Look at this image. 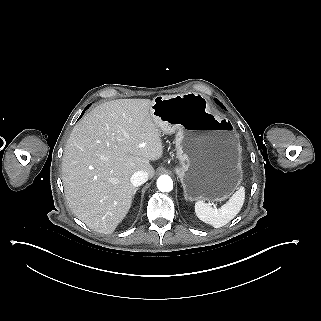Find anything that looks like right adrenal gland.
I'll list each match as a JSON object with an SVG mask.
<instances>
[{"instance_id": "right-adrenal-gland-1", "label": "right adrenal gland", "mask_w": 321, "mask_h": 321, "mask_svg": "<svg viewBox=\"0 0 321 321\" xmlns=\"http://www.w3.org/2000/svg\"><path fill=\"white\" fill-rule=\"evenodd\" d=\"M137 191H138V189L136 188V189L134 190L133 194H136Z\"/></svg>"}]
</instances>
